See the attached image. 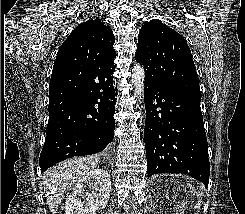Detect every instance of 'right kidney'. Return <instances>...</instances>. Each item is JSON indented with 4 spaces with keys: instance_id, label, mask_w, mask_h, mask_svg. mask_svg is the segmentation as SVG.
<instances>
[{
    "instance_id": "right-kidney-1",
    "label": "right kidney",
    "mask_w": 245,
    "mask_h": 214,
    "mask_svg": "<svg viewBox=\"0 0 245 214\" xmlns=\"http://www.w3.org/2000/svg\"><path fill=\"white\" fill-rule=\"evenodd\" d=\"M110 191L111 180L107 171L104 169L89 171L76 183L66 198V214H95L97 210L106 207ZM84 198L86 202L83 201Z\"/></svg>"
}]
</instances>
